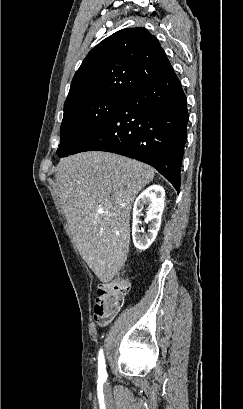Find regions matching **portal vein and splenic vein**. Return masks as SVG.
I'll return each mask as SVG.
<instances>
[{"instance_id": "obj_1", "label": "portal vein and splenic vein", "mask_w": 243, "mask_h": 409, "mask_svg": "<svg viewBox=\"0 0 243 409\" xmlns=\"http://www.w3.org/2000/svg\"><path fill=\"white\" fill-rule=\"evenodd\" d=\"M98 212H99V213H103V209H101V208L98 209Z\"/></svg>"}]
</instances>
